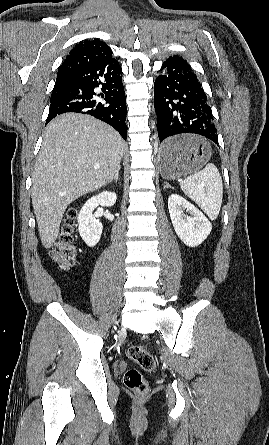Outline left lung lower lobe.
I'll return each mask as SVG.
<instances>
[{
    "instance_id": "1",
    "label": "left lung lower lobe",
    "mask_w": 269,
    "mask_h": 445,
    "mask_svg": "<svg viewBox=\"0 0 269 445\" xmlns=\"http://www.w3.org/2000/svg\"><path fill=\"white\" fill-rule=\"evenodd\" d=\"M161 73L154 83V107L164 155L180 152L182 146L170 137L182 133L201 135L218 144L207 96L186 60L170 56Z\"/></svg>"
}]
</instances>
